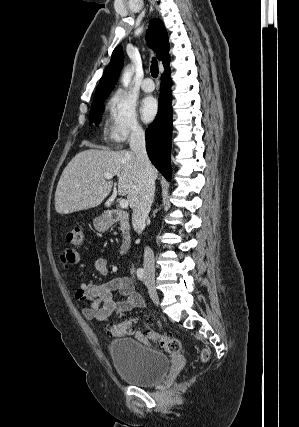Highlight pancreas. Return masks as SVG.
Segmentation results:
<instances>
[{"instance_id": "cf45deb5", "label": "pancreas", "mask_w": 299, "mask_h": 427, "mask_svg": "<svg viewBox=\"0 0 299 427\" xmlns=\"http://www.w3.org/2000/svg\"><path fill=\"white\" fill-rule=\"evenodd\" d=\"M119 230L122 232V234L125 237L129 238V236H130V233H129L130 227H129V224L127 222H124V221L121 222Z\"/></svg>"}]
</instances>
